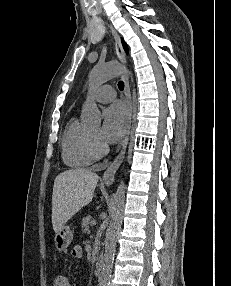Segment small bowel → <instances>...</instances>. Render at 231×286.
Returning a JSON list of instances; mask_svg holds the SVG:
<instances>
[{
	"mask_svg": "<svg viewBox=\"0 0 231 286\" xmlns=\"http://www.w3.org/2000/svg\"><path fill=\"white\" fill-rule=\"evenodd\" d=\"M82 254H83V251H82V248L80 246H75L73 249H72V256L74 258H81L82 257Z\"/></svg>",
	"mask_w": 231,
	"mask_h": 286,
	"instance_id": "obj_1",
	"label": "small bowel"
}]
</instances>
